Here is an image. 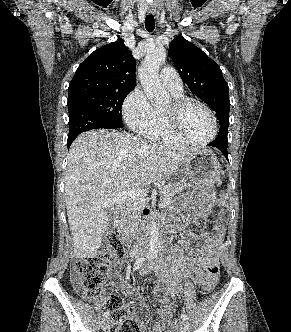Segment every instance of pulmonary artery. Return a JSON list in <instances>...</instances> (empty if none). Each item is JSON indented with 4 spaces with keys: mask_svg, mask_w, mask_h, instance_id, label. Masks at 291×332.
<instances>
[{
    "mask_svg": "<svg viewBox=\"0 0 291 332\" xmlns=\"http://www.w3.org/2000/svg\"><path fill=\"white\" fill-rule=\"evenodd\" d=\"M160 79L163 85L172 93L181 94L183 90L182 80L176 70L172 67H165L160 72Z\"/></svg>",
    "mask_w": 291,
    "mask_h": 332,
    "instance_id": "e3ab8cb5",
    "label": "pulmonary artery"
}]
</instances>
